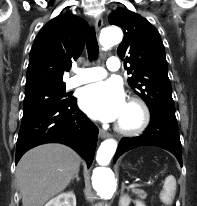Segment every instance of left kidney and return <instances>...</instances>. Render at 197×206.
<instances>
[{"label": "left kidney", "instance_id": "obj_1", "mask_svg": "<svg viewBox=\"0 0 197 206\" xmlns=\"http://www.w3.org/2000/svg\"><path fill=\"white\" fill-rule=\"evenodd\" d=\"M130 201L131 199L128 195H122L119 200V206H129ZM135 206H145V204L142 201L136 200Z\"/></svg>", "mask_w": 197, "mask_h": 206}]
</instances>
